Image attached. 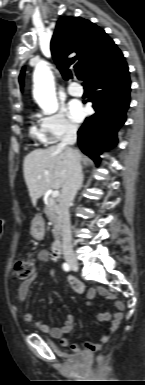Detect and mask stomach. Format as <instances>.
Masks as SVG:
<instances>
[{
    "mask_svg": "<svg viewBox=\"0 0 145 385\" xmlns=\"http://www.w3.org/2000/svg\"><path fill=\"white\" fill-rule=\"evenodd\" d=\"M30 234L33 238L41 240L44 236V224L41 219H35L32 223Z\"/></svg>",
    "mask_w": 145,
    "mask_h": 385,
    "instance_id": "0dacf381",
    "label": "stomach"
}]
</instances>
